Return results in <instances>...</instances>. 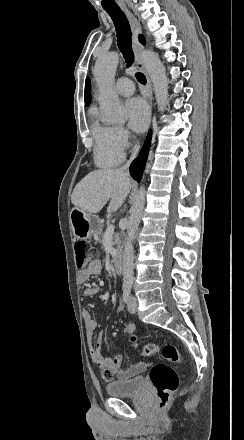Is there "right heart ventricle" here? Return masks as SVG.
Returning a JSON list of instances; mask_svg holds the SVG:
<instances>
[{"label": "right heart ventricle", "mask_w": 244, "mask_h": 440, "mask_svg": "<svg viewBox=\"0 0 244 440\" xmlns=\"http://www.w3.org/2000/svg\"><path fill=\"white\" fill-rule=\"evenodd\" d=\"M90 120V134L96 143L94 160L97 166L101 168H111L119 165L124 158L123 152L109 151L105 142L110 137L111 127L102 123L99 119V110L96 105H91L88 111Z\"/></svg>", "instance_id": "e07e8e85"}]
</instances>
